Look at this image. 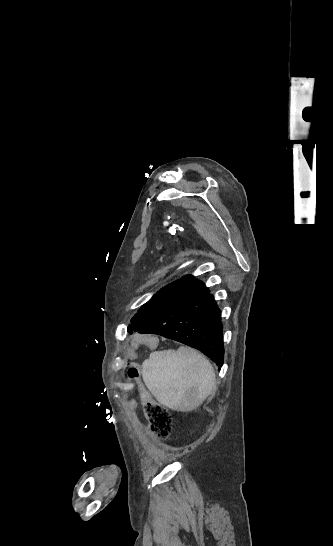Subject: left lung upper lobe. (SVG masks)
Masks as SVG:
<instances>
[{
  "label": "left lung upper lobe",
  "mask_w": 333,
  "mask_h": 546,
  "mask_svg": "<svg viewBox=\"0 0 333 546\" xmlns=\"http://www.w3.org/2000/svg\"><path fill=\"white\" fill-rule=\"evenodd\" d=\"M193 278L194 277L191 275L184 276L158 291L157 294L145 303L132 318L135 321L136 326L141 328L157 313V311L176 300L193 282Z\"/></svg>",
  "instance_id": "5c2ea615"
}]
</instances>
